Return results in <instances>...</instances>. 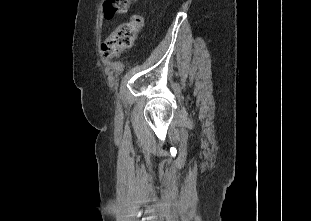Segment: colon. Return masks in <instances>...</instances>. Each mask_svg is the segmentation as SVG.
I'll return each instance as SVG.
<instances>
[{"mask_svg": "<svg viewBox=\"0 0 311 221\" xmlns=\"http://www.w3.org/2000/svg\"><path fill=\"white\" fill-rule=\"evenodd\" d=\"M134 0H108L106 5L105 22H114V17H125L127 7ZM145 21L143 14L133 15L128 21L120 24L104 40L101 49L106 56H118L122 51L129 49L135 42Z\"/></svg>", "mask_w": 311, "mask_h": 221, "instance_id": "1", "label": "colon"}]
</instances>
